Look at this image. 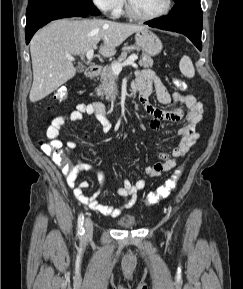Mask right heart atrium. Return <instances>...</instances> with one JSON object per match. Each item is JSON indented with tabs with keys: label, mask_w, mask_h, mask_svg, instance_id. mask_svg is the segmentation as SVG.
<instances>
[{
	"label": "right heart atrium",
	"mask_w": 243,
	"mask_h": 289,
	"mask_svg": "<svg viewBox=\"0 0 243 289\" xmlns=\"http://www.w3.org/2000/svg\"><path fill=\"white\" fill-rule=\"evenodd\" d=\"M94 4L111 15H117L122 7L123 0H92Z\"/></svg>",
	"instance_id": "1"
}]
</instances>
